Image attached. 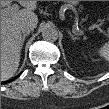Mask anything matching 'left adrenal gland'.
<instances>
[{"label":"left adrenal gland","instance_id":"left-adrenal-gland-1","mask_svg":"<svg viewBox=\"0 0 109 109\" xmlns=\"http://www.w3.org/2000/svg\"><path fill=\"white\" fill-rule=\"evenodd\" d=\"M68 33H69V35L71 36V38H72L73 40H77V37H75V36L71 33V31H68Z\"/></svg>","mask_w":109,"mask_h":109}]
</instances>
